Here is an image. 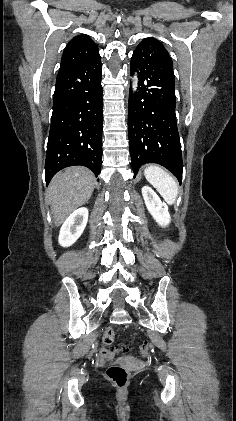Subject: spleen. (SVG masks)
Here are the masks:
<instances>
[{
    "mask_svg": "<svg viewBox=\"0 0 236 421\" xmlns=\"http://www.w3.org/2000/svg\"><path fill=\"white\" fill-rule=\"evenodd\" d=\"M145 178L155 186L168 204H174L178 196V184L173 176L157 164H149L144 170Z\"/></svg>",
    "mask_w": 236,
    "mask_h": 421,
    "instance_id": "obj_1",
    "label": "spleen"
}]
</instances>
